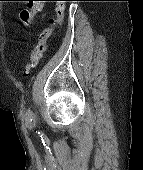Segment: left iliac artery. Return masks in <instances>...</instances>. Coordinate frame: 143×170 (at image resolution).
<instances>
[{
  "mask_svg": "<svg viewBox=\"0 0 143 170\" xmlns=\"http://www.w3.org/2000/svg\"><path fill=\"white\" fill-rule=\"evenodd\" d=\"M28 117H29V126L31 127V128H33V127H35V121H34V115H33V113L32 112H30L29 111V113H28Z\"/></svg>",
  "mask_w": 143,
  "mask_h": 170,
  "instance_id": "left-iliac-artery-1",
  "label": "left iliac artery"
}]
</instances>
